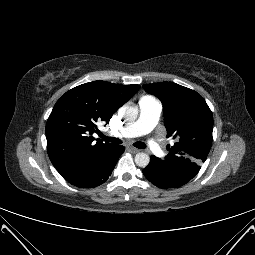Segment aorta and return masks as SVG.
I'll list each match as a JSON object with an SVG mask.
<instances>
[{
	"label": "aorta",
	"mask_w": 255,
	"mask_h": 255,
	"mask_svg": "<svg viewBox=\"0 0 255 255\" xmlns=\"http://www.w3.org/2000/svg\"><path fill=\"white\" fill-rule=\"evenodd\" d=\"M121 115L124 118V120L128 122H133L137 119L138 116V109L137 107L133 106H124L121 108ZM150 162V157L148 154L144 152H139L135 155V163L139 167H146Z\"/></svg>",
	"instance_id": "762f6f07"
}]
</instances>
